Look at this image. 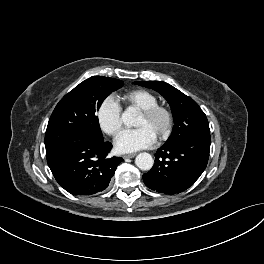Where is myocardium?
Returning a JSON list of instances; mask_svg holds the SVG:
<instances>
[{
  "instance_id": "1",
  "label": "myocardium",
  "mask_w": 264,
  "mask_h": 264,
  "mask_svg": "<svg viewBox=\"0 0 264 264\" xmlns=\"http://www.w3.org/2000/svg\"><path fill=\"white\" fill-rule=\"evenodd\" d=\"M140 114L147 119L162 117L164 120V127L162 131L157 135V138L159 140H165L170 136L174 120L172 111L168 107L156 104L154 106L141 110Z\"/></svg>"
}]
</instances>
